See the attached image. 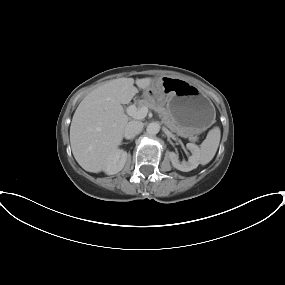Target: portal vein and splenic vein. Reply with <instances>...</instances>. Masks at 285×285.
Here are the masks:
<instances>
[{
  "mask_svg": "<svg viewBox=\"0 0 285 285\" xmlns=\"http://www.w3.org/2000/svg\"><path fill=\"white\" fill-rule=\"evenodd\" d=\"M147 113V107L137 108L135 105H130L127 108V114L134 119H144L147 116Z\"/></svg>",
  "mask_w": 285,
  "mask_h": 285,
  "instance_id": "18ae733b",
  "label": "portal vein and splenic vein"
}]
</instances>
